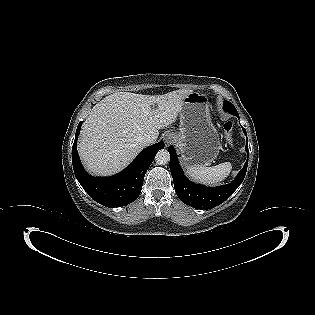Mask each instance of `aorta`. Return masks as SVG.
Returning a JSON list of instances; mask_svg holds the SVG:
<instances>
[{
  "instance_id": "762f6f07",
  "label": "aorta",
  "mask_w": 315,
  "mask_h": 315,
  "mask_svg": "<svg viewBox=\"0 0 315 315\" xmlns=\"http://www.w3.org/2000/svg\"><path fill=\"white\" fill-rule=\"evenodd\" d=\"M170 160V154L167 150L161 149L157 152L155 156V161L158 165H165Z\"/></svg>"
}]
</instances>
